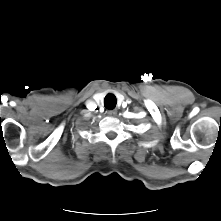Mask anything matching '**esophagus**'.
Segmentation results:
<instances>
[{
  "label": "esophagus",
  "mask_w": 221,
  "mask_h": 221,
  "mask_svg": "<svg viewBox=\"0 0 221 221\" xmlns=\"http://www.w3.org/2000/svg\"><path fill=\"white\" fill-rule=\"evenodd\" d=\"M107 114L109 115V116H116L117 115V110H108L107 111Z\"/></svg>",
  "instance_id": "obj_1"
}]
</instances>
